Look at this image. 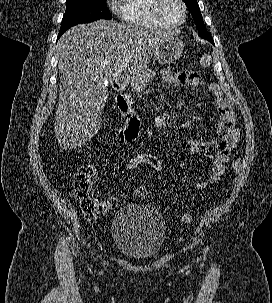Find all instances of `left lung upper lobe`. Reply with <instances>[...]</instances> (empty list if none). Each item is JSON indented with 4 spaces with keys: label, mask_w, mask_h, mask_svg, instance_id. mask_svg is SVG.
<instances>
[{
    "label": "left lung upper lobe",
    "mask_w": 272,
    "mask_h": 303,
    "mask_svg": "<svg viewBox=\"0 0 272 303\" xmlns=\"http://www.w3.org/2000/svg\"><path fill=\"white\" fill-rule=\"evenodd\" d=\"M183 1L187 5L190 13L193 16L194 22L198 29L199 36L206 40L212 39V37L210 36V34L208 33V31L206 30V27L204 25L203 17L201 15L197 1L196 0H183Z\"/></svg>",
    "instance_id": "1"
}]
</instances>
